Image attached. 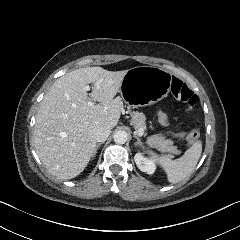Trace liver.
<instances>
[{"instance_id":"6515ba94","label":"liver","mask_w":240,"mask_h":240,"mask_svg":"<svg viewBox=\"0 0 240 240\" xmlns=\"http://www.w3.org/2000/svg\"><path fill=\"white\" fill-rule=\"evenodd\" d=\"M127 70L83 67L59 77L41 101L34 126V147L44 166L58 179L78 175L95 149L100 127L113 128L121 114L116 96ZM92 83L88 94V84ZM88 99L99 104L90 105Z\"/></svg>"}]
</instances>
